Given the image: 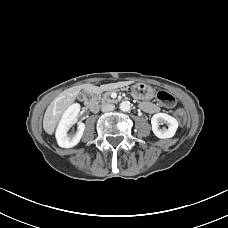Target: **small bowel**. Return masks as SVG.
<instances>
[{"label": "small bowel", "mask_w": 228, "mask_h": 228, "mask_svg": "<svg viewBox=\"0 0 228 228\" xmlns=\"http://www.w3.org/2000/svg\"><path fill=\"white\" fill-rule=\"evenodd\" d=\"M140 107L143 111L149 114L157 113L160 110L159 106L156 103L150 101L141 103Z\"/></svg>", "instance_id": "small-bowel-1"}]
</instances>
